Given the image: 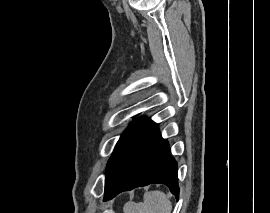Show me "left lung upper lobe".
<instances>
[{
    "mask_svg": "<svg viewBox=\"0 0 270 213\" xmlns=\"http://www.w3.org/2000/svg\"><path fill=\"white\" fill-rule=\"evenodd\" d=\"M146 118H139L135 121H133L129 127L126 129V131L122 134V136L120 137L118 143L115 146L114 152L108 162L107 165V171L110 168V166L112 165V163L114 162L117 154L120 152V150L123 148V146L125 145V143L129 140V138L134 134V132L138 129V127L143 123V121Z\"/></svg>",
    "mask_w": 270,
    "mask_h": 213,
    "instance_id": "left-lung-upper-lobe-1",
    "label": "left lung upper lobe"
}]
</instances>
